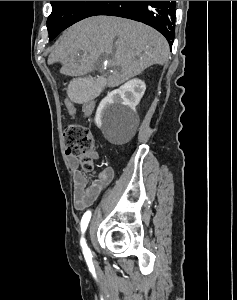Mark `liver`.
Returning a JSON list of instances; mask_svg holds the SVG:
<instances>
[{
	"mask_svg": "<svg viewBox=\"0 0 237 300\" xmlns=\"http://www.w3.org/2000/svg\"><path fill=\"white\" fill-rule=\"evenodd\" d=\"M169 45L158 31L120 17H89L65 31L48 65L62 63V75H87L107 61L108 87H118L151 65H164Z\"/></svg>",
	"mask_w": 237,
	"mask_h": 300,
	"instance_id": "1",
	"label": "liver"
}]
</instances>
